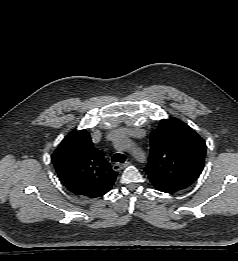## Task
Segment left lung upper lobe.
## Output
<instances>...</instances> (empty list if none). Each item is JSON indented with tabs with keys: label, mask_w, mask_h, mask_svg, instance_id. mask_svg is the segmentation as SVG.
<instances>
[{
	"label": "left lung upper lobe",
	"mask_w": 238,
	"mask_h": 261,
	"mask_svg": "<svg viewBox=\"0 0 238 261\" xmlns=\"http://www.w3.org/2000/svg\"><path fill=\"white\" fill-rule=\"evenodd\" d=\"M151 153L145 171L153 186L171 193L190 186L201 174L204 140L177 118L163 119L150 135Z\"/></svg>",
	"instance_id": "1"
}]
</instances>
